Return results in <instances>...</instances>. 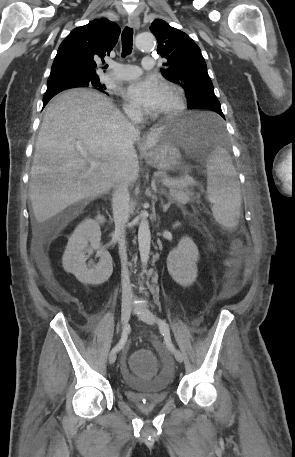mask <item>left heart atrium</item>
<instances>
[{
    "instance_id": "39dd6f15",
    "label": "left heart atrium",
    "mask_w": 295,
    "mask_h": 457,
    "mask_svg": "<svg viewBox=\"0 0 295 457\" xmlns=\"http://www.w3.org/2000/svg\"><path fill=\"white\" fill-rule=\"evenodd\" d=\"M163 90L164 87L153 78L139 79L126 88L125 96L134 105L154 112L160 104Z\"/></svg>"
}]
</instances>
